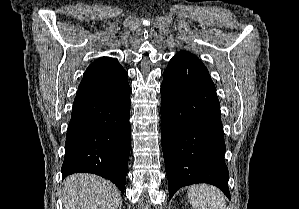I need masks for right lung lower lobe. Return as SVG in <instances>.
Here are the masks:
<instances>
[{"mask_svg": "<svg viewBox=\"0 0 299 209\" xmlns=\"http://www.w3.org/2000/svg\"><path fill=\"white\" fill-rule=\"evenodd\" d=\"M127 72L86 70L68 125L63 178L77 172L102 176L124 193L130 154Z\"/></svg>", "mask_w": 299, "mask_h": 209, "instance_id": "1", "label": "right lung lower lobe"}]
</instances>
